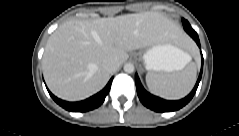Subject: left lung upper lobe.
I'll use <instances>...</instances> for the list:
<instances>
[{
	"label": "left lung upper lobe",
	"instance_id": "1",
	"mask_svg": "<svg viewBox=\"0 0 239 136\" xmlns=\"http://www.w3.org/2000/svg\"><path fill=\"white\" fill-rule=\"evenodd\" d=\"M183 22L190 26V24H189V22H188L187 20L182 19V23H183Z\"/></svg>",
	"mask_w": 239,
	"mask_h": 136
}]
</instances>
